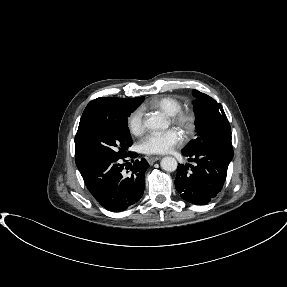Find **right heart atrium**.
Listing matches in <instances>:
<instances>
[{
    "label": "right heart atrium",
    "instance_id": "right-heart-atrium-1",
    "mask_svg": "<svg viewBox=\"0 0 287 287\" xmlns=\"http://www.w3.org/2000/svg\"><path fill=\"white\" fill-rule=\"evenodd\" d=\"M127 125L134 135H139L144 131V113L141 108H137L130 113L127 118Z\"/></svg>",
    "mask_w": 287,
    "mask_h": 287
}]
</instances>
